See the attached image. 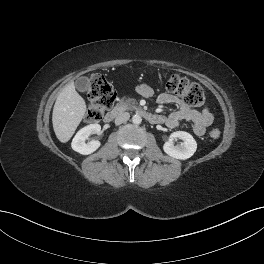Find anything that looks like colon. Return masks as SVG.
I'll list each match as a JSON object with an SVG mask.
<instances>
[{
    "mask_svg": "<svg viewBox=\"0 0 264 264\" xmlns=\"http://www.w3.org/2000/svg\"><path fill=\"white\" fill-rule=\"evenodd\" d=\"M164 84L167 91L180 96L183 102L189 106H198L204 101L202 87L184 77L173 74L166 79ZM87 96L89 104L85 119L90 123L101 120L104 113L114 105L116 100L114 88L100 74H95L90 78ZM219 135L220 130L218 128H212L208 132L209 139H216Z\"/></svg>",
    "mask_w": 264,
    "mask_h": 264,
    "instance_id": "colon-1",
    "label": "colon"
}]
</instances>
